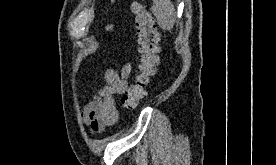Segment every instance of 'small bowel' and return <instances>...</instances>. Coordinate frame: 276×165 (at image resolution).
<instances>
[{"instance_id":"small-bowel-1","label":"small bowel","mask_w":276,"mask_h":165,"mask_svg":"<svg viewBox=\"0 0 276 165\" xmlns=\"http://www.w3.org/2000/svg\"><path fill=\"white\" fill-rule=\"evenodd\" d=\"M131 71L130 63L125 64L121 71L112 68L105 70L106 85L99 92V98L89 103L82 112L83 121L92 132H101L117 121L114 97L126 92Z\"/></svg>"}]
</instances>
